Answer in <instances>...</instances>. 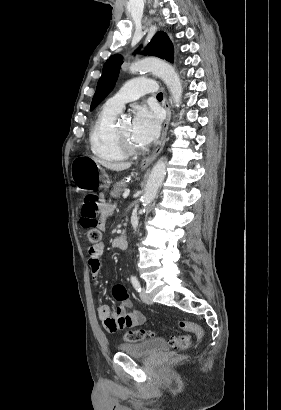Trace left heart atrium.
Returning a JSON list of instances; mask_svg holds the SVG:
<instances>
[{
	"mask_svg": "<svg viewBox=\"0 0 281 410\" xmlns=\"http://www.w3.org/2000/svg\"><path fill=\"white\" fill-rule=\"evenodd\" d=\"M159 131V113L147 107L137 108L131 130L133 140L140 146H146L158 137Z\"/></svg>",
	"mask_w": 281,
	"mask_h": 410,
	"instance_id": "obj_1",
	"label": "left heart atrium"
}]
</instances>
